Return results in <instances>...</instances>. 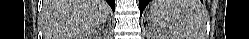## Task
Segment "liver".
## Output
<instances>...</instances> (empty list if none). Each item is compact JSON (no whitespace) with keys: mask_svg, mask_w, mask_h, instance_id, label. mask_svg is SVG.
Returning <instances> with one entry per match:
<instances>
[{"mask_svg":"<svg viewBox=\"0 0 249 39\" xmlns=\"http://www.w3.org/2000/svg\"><path fill=\"white\" fill-rule=\"evenodd\" d=\"M110 15L105 0H43L45 39H88Z\"/></svg>","mask_w":249,"mask_h":39,"instance_id":"obj_1","label":"liver"}]
</instances>
